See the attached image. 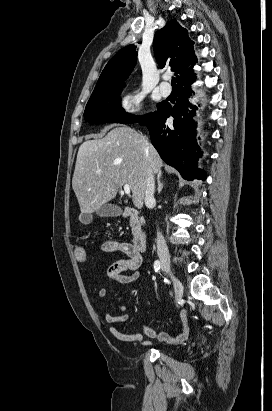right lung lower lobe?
<instances>
[{"instance_id": "right-lung-lower-lobe-1", "label": "right lung lower lobe", "mask_w": 272, "mask_h": 411, "mask_svg": "<svg viewBox=\"0 0 272 411\" xmlns=\"http://www.w3.org/2000/svg\"><path fill=\"white\" fill-rule=\"evenodd\" d=\"M193 82L194 80L177 87L178 98L174 107L167 102H161L149 119L138 123L148 127L152 144L161 158L176 168L184 179L205 180V172L196 166L198 158L201 157V153L196 152L199 147L195 142V124L191 118L196 107L188 101ZM189 107L193 110L189 111ZM169 116L174 117L171 124L166 123Z\"/></svg>"}]
</instances>
